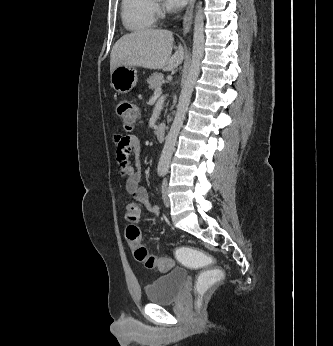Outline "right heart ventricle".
Listing matches in <instances>:
<instances>
[{
	"label": "right heart ventricle",
	"instance_id": "1",
	"mask_svg": "<svg viewBox=\"0 0 333 346\" xmlns=\"http://www.w3.org/2000/svg\"><path fill=\"white\" fill-rule=\"evenodd\" d=\"M121 16L130 31L151 29L156 20L153 0H122Z\"/></svg>",
	"mask_w": 333,
	"mask_h": 346
}]
</instances>
